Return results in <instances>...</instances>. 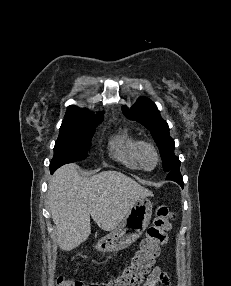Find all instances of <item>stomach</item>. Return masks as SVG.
<instances>
[{"instance_id": "0dacf381", "label": "stomach", "mask_w": 231, "mask_h": 286, "mask_svg": "<svg viewBox=\"0 0 231 286\" xmlns=\"http://www.w3.org/2000/svg\"><path fill=\"white\" fill-rule=\"evenodd\" d=\"M152 208L153 204L148 198L137 200L119 226L102 237L95 248L100 252H113L130 247L148 227Z\"/></svg>"}]
</instances>
